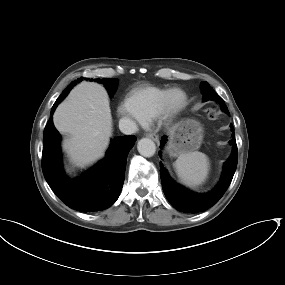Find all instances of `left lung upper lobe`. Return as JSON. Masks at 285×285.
Segmentation results:
<instances>
[{"label": "left lung upper lobe", "mask_w": 285, "mask_h": 285, "mask_svg": "<svg viewBox=\"0 0 285 285\" xmlns=\"http://www.w3.org/2000/svg\"><path fill=\"white\" fill-rule=\"evenodd\" d=\"M201 88H202V93L204 95V101L208 100L218 101L222 106V110L226 113L228 112L223 99L212 89V87H210V85L207 82H202Z\"/></svg>", "instance_id": "left-lung-upper-lobe-1"}]
</instances>
